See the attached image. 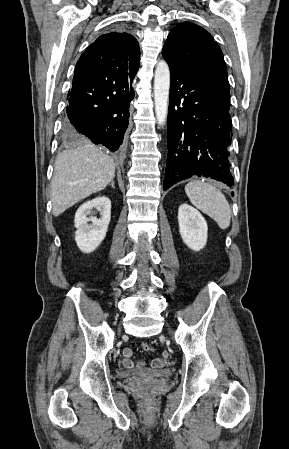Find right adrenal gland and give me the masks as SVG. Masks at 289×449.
<instances>
[{"label": "right adrenal gland", "mask_w": 289, "mask_h": 449, "mask_svg": "<svg viewBox=\"0 0 289 449\" xmlns=\"http://www.w3.org/2000/svg\"><path fill=\"white\" fill-rule=\"evenodd\" d=\"M114 184H115V182L112 180V182L110 184L112 188H115Z\"/></svg>", "instance_id": "right-adrenal-gland-1"}]
</instances>
